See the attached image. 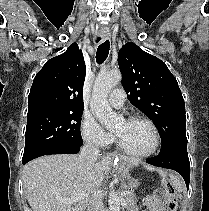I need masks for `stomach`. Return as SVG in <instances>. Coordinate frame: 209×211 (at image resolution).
Returning <instances> with one entry per match:
<instances>
[{
	"instance_id": "obj_1",
	"label": "stomach",
	"mask_w": 209,
	"mask_h": 211,
	"mask_svg": "<svg viewBox=\"0 0 209 211\" xmlns=\"http://www.w3.org/2000/svg\"><path fill=\"white\" fill-rule=\"evenodd\" d=\"M117 173L120 177L121 186L126 190L137 188L139 181L131 176L130 167L125 164H118Z\"/></svg>"
}]
</instances>
